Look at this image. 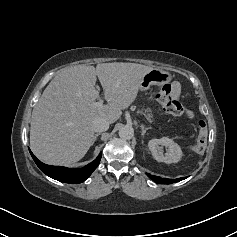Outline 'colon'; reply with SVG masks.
Segmentation results:
<instances>
[{
	"mask_svg": "<svg viewBox=\"0 0 237 237\" xmlns=\"http://www.w3.org/2000/svg\"><path fill=\"white\" fill-rule=\"evenodd\" d=\"M159 98L163 105L164 110L174 116L184 114L189 110L186 102L183 99L174 97L171 94V87L164 86L159 92ZM198 136L193 144V151L196 153L204 152L207 145L208 130L206 123L200 120L197 124Z\"/></svg>",
	"mask_w": 237,
	"mask_h": 237,
	"instance_id": "5ec220e1",
	"label": "colon"
}]
</instances>
